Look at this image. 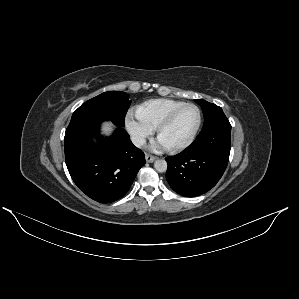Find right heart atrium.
I'll list each match as a JSON object with an SVG mask.
<instances>
[{"mask_svg":"<svg viewBox=\"0 0 299 299\" xmlns=\"http://www.w3.org/2000/svg\"><path fill=\"white\" fill-rule=\"evenodd\" d=\"M125 127L132 142L141 147L153 134L154 128L147 124L137 113L128 112L125 117Z\"/></svg>","mask_w":299,"mask_h":299,"instance_id":"obj_1","label":"right heart atrium"}]
</instances>
